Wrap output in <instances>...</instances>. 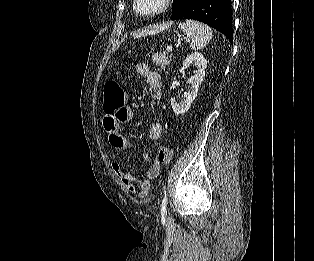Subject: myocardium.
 Segmentation results:
<instances>
[{
    "label": "myocardium",
    "instance_id": "1",
    "mask_svg": "<svg viewBox=\"0 0 314 261\" xmlns=\"http://www.w3.org/2000/svg\"><path fill=\"white\" fill-rule=\"evenodd\" d=\"M172 2L173 0H162L160 6L157 9L150 12H142L138 9V0H133V10L137 15L141 17H153L167 11Z\"/></svg>",
    "mask_w": 314,
    "mask_h": 261
}]
</instances>
